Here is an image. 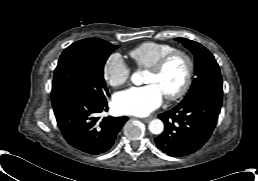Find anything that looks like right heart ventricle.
I'll return each instance as SVG.
<instances>
[{
  "instance_id": "obj_1",
  "label": "right heart ventricle",
  "mask_w": 258,
  "mask_h": 181,
  "mask_svg": "<svg viewBox=\"0 0 258 181\" xmlns=\"http://www.w3.org/2000/svg\"><path fill=\"white\" fill-rule=\"evenodd\" d=\"M175 50V47L161 42L147 41L129 51L130 58L137 67L148 69L165 54Z\"/></svg>"
}]
</instances>
